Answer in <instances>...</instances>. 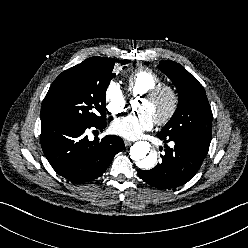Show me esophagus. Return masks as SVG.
Wrapping results in <instances>:
<instances>
[{"label": "esophagus", "mask_w": 248, "mask_h": 248, "mask_svg": "<svg viewBox=\"0 0 248 248\" xmlns=\"http://www.w3.org/2000/svg\"><path fill=\"white\" fill-rule=\"evenodd\" d=\"M124 144H125L126 147H128V146H130L132 144V142L129 141V140H124Z\"/></svg>", "instance_id": "obj_1"}]
</instances>
